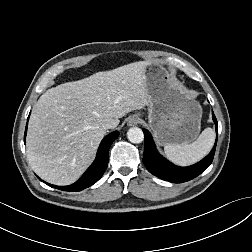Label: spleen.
<instances>
[{"label": "spleen", "instance_id": "1", "mask_svg": "<svg viewBox=\"0 0 252 252\" xmlns=\"http://www.w3.org/2000/svg\"><path fill=\"white\" fill-rule=\"evenodd\" d=\"M215 140V133L212 128H206L199 135L196 141L191 144H166L164 152L166 156L179 165H191L204 156L211 150Z\"/></svg>", "mask_w": 252, "mask_h": 252}]
</instances>
